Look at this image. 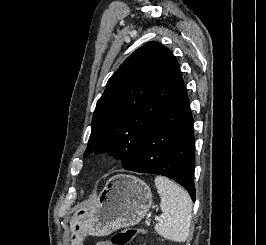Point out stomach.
Wrapping results in <instances>:
<instances>
[{
    "instance_id": "obj_1",
    "label": "stomach",
    "mask_w": 266,
    "mask_h": 245,
    "mask_svg": "<svg viewBox=\"0 0 266 245\" xmlns=\"http://www.w3.org/2000/svg\"><path fill=\"white\" fill-rule=\"evenodd\" d=\"M152 205L145 181L133 175H114L107 181L94 207L80 209L70 221L71 245H83L87 235L105 237L117 229L138 225Z\"/></svg>"
}]
</instances>
